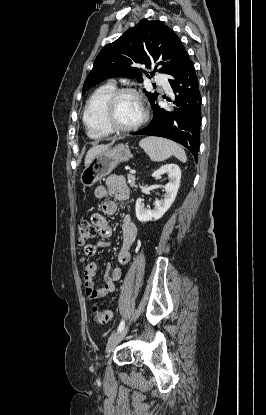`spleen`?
<instances>
[{"label":"spleen","mask_w":266,"mask_h":415,"mask_svg":"<svg viewBox=\"0 0 266 415\" xmlns=\"http://www.w3.org/2000/svg\"><path fill=\"white\" fill-rule=\"evenodd\" d=\"M140 147L149 155L151 161L161 162L175 156L182 162L187 161L186 153L180 145L168 139L147 137L139 142Z\"/></svg>","instance_id":"3e777b00"}]
</instances>
